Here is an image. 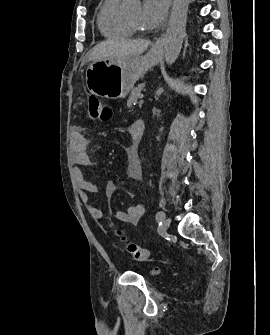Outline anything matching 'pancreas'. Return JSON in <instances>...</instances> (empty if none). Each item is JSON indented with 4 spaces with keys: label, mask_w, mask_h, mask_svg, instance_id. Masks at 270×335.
<instances>
[{
    "label": "pancreas",
    "mask_w": 270,
    "mask_h": 335,
    "mask_svg": "<svg viewBox=\"0 0 270 335\" xmlns=\"http://www.w3.org/2000/svg\"><path fill=\"white\" fill-rule=\"evenodd\" d=\"M145 84H139L137 88H133L130 92L129 100H127L128 108H131L133 104H137L138 98H141V90H143Z\"/></svg>",
    "instance_id": "obj_1"
}]
</instances>
